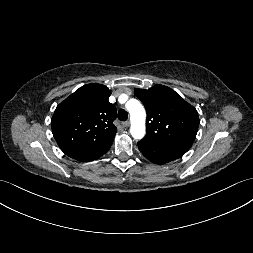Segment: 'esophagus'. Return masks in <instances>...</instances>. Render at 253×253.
I'll use <instances>...</instances> for the list:
<instances>
[{
	"label": "esophagus",
	"instance_id": "obj_1",
	"mask_svg": "<svg viewBox=\"0 0 253 253\" xmlns=\"http://www.w3.org/2000/svg\"><path fill=\"white\" fill-rule=\"evenodd\" d=\"M123 127H129L130 126V122L129 121H125L122 123Z\"/></svg>",
	"mask_w": 253,
	"mask_h": 253
}]
</instances>
